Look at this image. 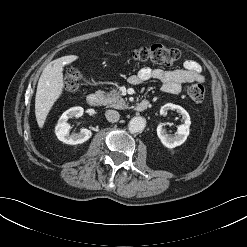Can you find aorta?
<instances>
[{
	"label": "aorta",
	"instance_id": "aorta-1",
	"mask_svg": "<svg viewBox=\"0 0 247 247\" xmlns=\"http://www.w3.org/2000/svg\"><path fill=\"white\" fill-rule=\"evenodd\" d=\"M146 127V120L141 116L133 117L128 124L131 133H140Z\"/></svg>",
	"mask_w": 247,
	"mask_h": 247
}]
</instances>
